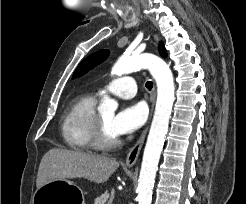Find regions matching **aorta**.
<instances>
[{
	"label": "aorta",
	"mask_w": 246,
	"mask_h": 204,
	"mask_svg": "<svg viewBox=\"0 0 246 204\" xmlns=\"http://www.w3.org/2000/svg\"><path fill=\"white\" fill-rule=\"evenodd\" d=\"M137 68L148 69L157 85L155 114L143 154L137 187L138 203L151 204L155 176L172 112L175 87L169 65L153 54L123 55L114 64L112 74L121 76ZM117 108L118 103L115 100L104 96L98 111L102 116H114Z\"/></svg>",
	"instance_id": "aorta-1"
}]
</instances>
